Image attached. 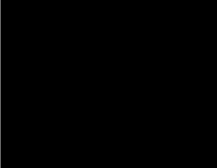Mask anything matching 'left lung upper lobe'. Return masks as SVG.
<instances>
[{
	"mask_svg": "<svg viewBox=\"0 0 217 168\" xmlns=\"http://www.w3.org/2000/svg\"><path fill=\"white\" fill-rule=\"evenodd\" d=\"M150 64L142 89L149 98L178 103L182 96L183 61L173 37L158 26L148 29Z\"/></svg>",
	"mask_w": 217,
	"mask_h": 168,
	"instance_id": "left-lung-upper-lobe-1",
	"label": "left lung upper lobe"
}]
</instances>
